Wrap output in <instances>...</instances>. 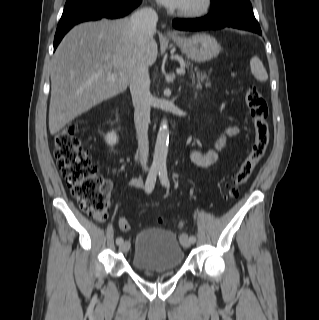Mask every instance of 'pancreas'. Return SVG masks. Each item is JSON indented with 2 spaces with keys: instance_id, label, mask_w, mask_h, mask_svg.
<instances>
[{
  "instance_id": "obj_1",
  "label": "pancreas",
  "mask_w": 319,
  "mask_h": 320,
  "mask_svg": "<svg viewBox=\"0 0 319 320\" xmlns=\"http://www.w3.org/2000/svg\"><path fill=\"white\" fill-rule=\"evenodd\" d=\"M182 64L187 68L191 67L193 69V65L188 61H183ZM194 72H196V76H197V79H198L199 82L200 81L201 82H205L206 86L210 85L209 77L207 76V74L205 72H199L196 67L194 68ZM194 72H192L193 78L195 77V73Z\"/></svg>"
}]
</instances>
